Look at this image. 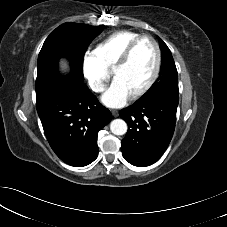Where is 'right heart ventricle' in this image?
I'll return each mask as SVG.
<instances>
[{
    "instance_id": "1",
    "label": "right heart ventricle",
    "mask_w": 227,
    "mask_h": 227,
    "mask_svg": "<svg viewBox=\"0 0 227 227\" xmlns=\"http://www.w3.org/2000/svg\"><path fill=\"white\" fill-rule=\"evenodd\" d=\"M141 35L134 31L114 32L97 44L94 53L107 70H111L127 46Z\"/></svg>"
}]
</instances>
